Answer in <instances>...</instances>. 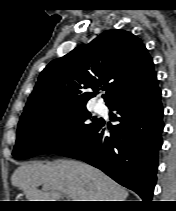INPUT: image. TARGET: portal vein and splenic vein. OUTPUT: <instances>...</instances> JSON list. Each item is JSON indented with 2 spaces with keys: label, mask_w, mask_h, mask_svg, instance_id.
<instances>
[{
  "label": "portal vein and splenic vein",
  "mask_w": 176,
  "mask_h": 211,
  "mask_svg": "<svg viewBox=\"0 0 176 211\" xmlns=\"http://www.w3.org/2000/svg\"><path fill=\"white\" fill-rule=\"evenodd\" d=\"M68 201H76V200H73V199H72V200H68Z\"/></svg>",
  "instance_id": "obj_1"
}]
</instances>
